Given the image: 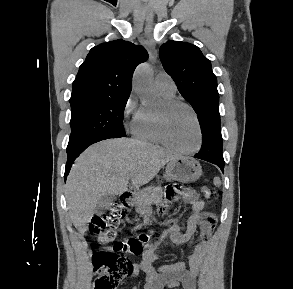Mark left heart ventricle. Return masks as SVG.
Wrapping results in <instances>:
<instances>
[{"mask_svg":"<svg viewBox=\"0 0 293 289\" xmlns=\"http://www.w3.org/2000/svg\"><path fill=\"white\" fill-rule=\"evenodd\" d=\"M164 116L165 132L168 140L177 148L188 150L197 143V127L191 112L182 106L165 110L158 109Z\"/></svg>","mask_w":293,"mask_h":289,"instance_id":"1","label":"left heart ventricle"}]
</instances>
